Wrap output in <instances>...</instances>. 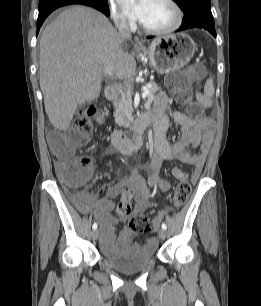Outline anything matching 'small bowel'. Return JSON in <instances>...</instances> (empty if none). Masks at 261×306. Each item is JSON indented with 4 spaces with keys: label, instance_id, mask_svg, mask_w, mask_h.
Wrapping results in <instances>:
<instances>
[{
    "label": "small bowel",
    "instance_id": "small-bowel-1",
    "mask_svg": "<svg viewBox=\"0 0 261 306\" xmlns=\"http://www.w3.org/2000/svg\"><path fill=\"white\" fill-rule=\"evenodd\" d=\"M198 99L204 106L210 105L207 97L200 95ZM151 115L154 118V154L146 167L149 172L147 180L142 176L140 170L133 169L125 180L114 186L103 188L102 196L95 206L93 197L89 194L83 195L80 201L82 210L91 212L99 221L105 246H109L113 241L110 238L109 230L128 219V216L117 218L111 214L116 197L129 191L135 201L131 214L141 213L151 205L148 185L163 192L169 191L172 187L169 182L159 176L163 162L176 160L192 165L194 168L192 180L196 181L210 151L215 131V122L212 119L198 120L192 115L168 109V96L165 92L157 94ZM172 122L176 123L181 130V136L174 145L168 143L165 135ZM196 148L200 150L198 153L193 152ZM66 165L59 161L56 163V170L60 172ZM90 169H92L91 163ZM173 174L179 178L180 171L173 169ZM150 241L154 242V239Z\"/></svg>",
    "mask_w": 261,
    "mask_h": 306
}]
</instances>
